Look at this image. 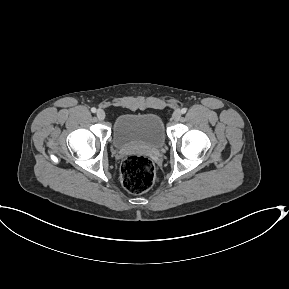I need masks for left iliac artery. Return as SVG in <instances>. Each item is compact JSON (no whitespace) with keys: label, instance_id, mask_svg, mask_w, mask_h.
Returning a JSON list of instances; mask_svg holds the SVG:
<instances>
[{"label":"left iliac artery","instance_id":"left-iliac-artery-1","mask_svg":"<svg viewBox=\"0 0 289 289\" xmlns=\"http://www.w3.org/2000/svg\"><path fill=\"white\" fill-rule=\"evenodd\" d=\"M186 111H187V109H186V108H182V109H181V113H182V114H185V113H186Z\"/></svg>","mask_w":289,"mask_h":289}]
</instances>
